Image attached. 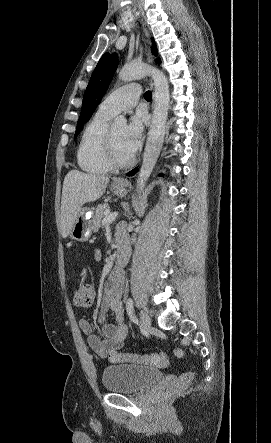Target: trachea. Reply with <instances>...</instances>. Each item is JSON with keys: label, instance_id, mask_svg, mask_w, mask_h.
Wrapping results in <instances>:
<instances>
[{"label": "trachea", "instance_id": "obj_1", "mask_svg": "<svg viewBox=\"0 0 271 443\" xmlns=\"http://www.w3.org/2000/svg\"><path fill=\"white\" fill-rule=\"evenodd\" d=\"M144 97L146 100H151L152 93L148 90L147 92H145Z\"/></svg>", "mask_w": 271, "mask_h": 443}]
</instances>
